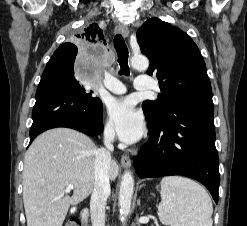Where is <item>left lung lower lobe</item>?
I'll return each instance as SVG.
<instances>
[{"label":"left lung lower lobe","instance_id":"left-lung-lower-lobe-1","mask_svg":"<svg viewBox=\"0 0 247 226\" xmlns=\"http://www.w3.org/2000/svg\"><path fill=\"white\" fill-rule=\"evenodd\" d=\"M149 141L134 159L140 178L183 175L201 182L218 203L219 158L212 98L187 100L149 124Z\"/></svg>","mask_w":247,"mask_h":226}]
</instances>
